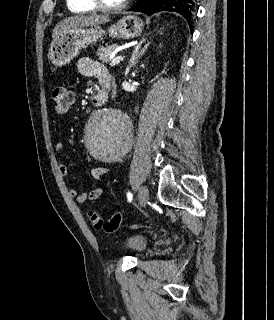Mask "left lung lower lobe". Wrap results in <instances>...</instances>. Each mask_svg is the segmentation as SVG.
<instances>
[{
    "label": "left lung lower lobe",
    "instance_id": "obj_1",
    "mask_svg": "<svg viewBox=\"0 0 274 320\" xmlns=\"http://www.w3.org/2000/svg\"><path fill=\"white\" fill-rule=\"evenodd\" d=\"M130 11L143 12L150 16L159 11H173L187 18L191 25V17L195 12V0H137Z\"/></svg>",
    "mask_w": 274,
    "mask_h": 320
}]
</instances>
